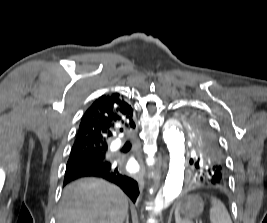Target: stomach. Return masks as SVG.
Segmentation results:
<instances>
[{"mask_svg":"<svg viewBox=\"0 0 267 223\" xmlns=\"http://www.w3.org/2000/svg\"><path fill=\"white\" fill-rule=\"evenodd\" d=\"M204 208V202L199 196H188L180 206L181 213L186 219L198 217Z\"/></svg>","mask_w":267,"mask_h":223,"instance_id":"obj_1","label":"stomach"}]
</instances>
